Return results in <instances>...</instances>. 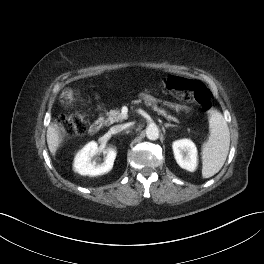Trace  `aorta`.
<instances>
[{
  "instance_id": "aorta-1",
  "label": "aorta",
  "mask_w": 264,
  "mask_h": 264,
  "mask_svg": "<svg viewBox=\"0 0 264 264\" xmlns=\"http://www.w3.org/2000/svg\"><path fill=\"white\" fill-rule=\"evenodd\" d=\"M146 136L149 140H157L159 138V129L155 124H150L146 128Z\"/></svg>"
}]
</instances>
